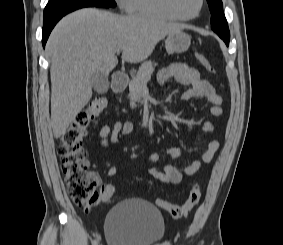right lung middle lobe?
<instances>
[{"mask_svg":"<svg viewBox=\"0 0 283 245\" xmlns=\"http://www.w3.org/2000/svg\"><path fill=\"white\" fill-rule=\"evenodd\" d=\"M93 6L115 7L116 3L114 0H49L44 9V19Z\"/></svg>","mask_w":283,"mask_h":245,"instance_id":"1","label":"right lung middle lobe"}]
</instances>
